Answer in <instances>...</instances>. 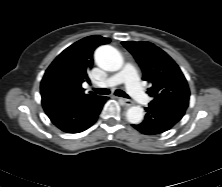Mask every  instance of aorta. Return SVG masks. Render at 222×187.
I'll use <instances>...</instances> for the list:
<instances>
[{
    "label": "aorta",
    "mask_w": 222,
    "mask_h": 187,
    "mask_svg": "<svg viewBox=\"0 0 222 187\" xmlns=\"http://www.w3.org/2000/svg\"><path fill=\"white\" fill-rule=\"evenodd\" d=\"M94 58L96 64L107 71H118L124 63L121 53L110 45L98 47ZM126 116L131 124H139L144 118V112L140 106H132L127 110Z\"/></svg>",
    "instance_id": "obj_1"
}]
</instances>
